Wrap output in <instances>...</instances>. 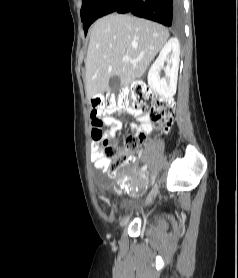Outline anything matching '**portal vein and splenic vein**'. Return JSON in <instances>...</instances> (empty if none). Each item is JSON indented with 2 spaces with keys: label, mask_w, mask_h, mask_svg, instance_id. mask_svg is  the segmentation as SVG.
<instances>
[{
  "label": "portal vein and splenic vein",
  "mask_w": 238,
  "mask_h": 278,
  "mask_svg": "<svg viewBox=\"0 0 238 278\" xmlns=\"http://www.w3.org/2000/svg\"><path fill=\"white\" fill-rule=\"evenodd\" d=\"M123 60H124V61H131V62H133V63L135 62V61L132 60L129 56H124V57H123Z\"/></svg>",
  "instance_id": "18ae733b"
}]
</instances>
